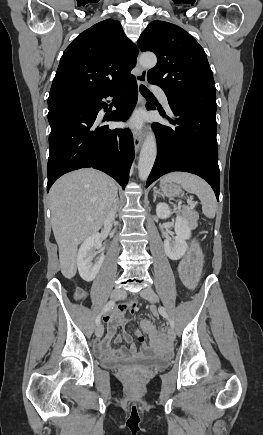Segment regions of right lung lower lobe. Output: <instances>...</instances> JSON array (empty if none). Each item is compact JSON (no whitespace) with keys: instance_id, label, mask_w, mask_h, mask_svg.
<instances>
[{"instance_id":"right-lung-lower-lobe-1","label":"right lung lower lobe","mask_w":263,"mask_h":435,"mask_svg":"<svg viewBox=\"0 0 263 435\" xmlns=\"http://www.w3.org/2000/svg\"><path fill=\"white\" fill-rule=\"evenodd\" d=\"M107 97L119 101L115 105L117 110L105 115L103 121H126L137 102L136 78L92 98L49 108L47 191L63 174L90 167L107 173L123 188L127 184L135 157L133 136L129 129L100 126L97 116L102 108H107L103 101Z\"/></svg>"}]
</instances>
